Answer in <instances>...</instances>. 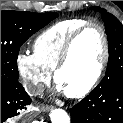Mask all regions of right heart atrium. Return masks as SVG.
<instances>
[{"label": "right heart atrium", "mask_w": 123, "mask_h": 123, "mask_svg": "<svg viewBox=\"0 0 123 123\" xmlns=\"http://www.w3.org/2000/svg\"><path fill=\"white\" fill-rule=\"evenodd\" d=\"M15 63L25 88L31 94L40 92L42 86L51 78V72L32 53L19 52Z\"/></svg>", "instance_id": "right-heart-atrium-1"}]
</instances>
